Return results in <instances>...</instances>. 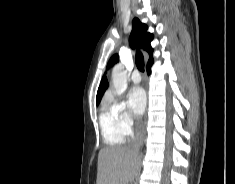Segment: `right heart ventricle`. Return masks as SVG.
Returning <instances> with one entry per match:
<instances>
[{"mask_svg": "<svg viewBox=\"0 0 235 184\" xmlns=\"http://www.w3.org/2000/svg\"><path fill=\"white\" fill-rule=\"evenodd\" d=\"M99 124L103 140L108 146V148L101 153L100 158L102 160H109L123 150L126 138L117 126L112 107L103 106L100 109Z\"/></svg>", "mask_w": 235, "mask_h": 184, "instance_id": "e07e8e85", "label": "right heart ventricle"}]
</instances>
